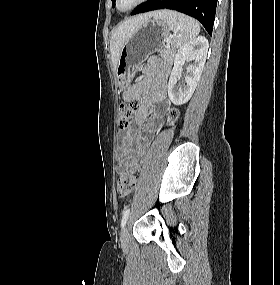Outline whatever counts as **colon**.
<instances>
[{
  "mask_svg": "<svg viewBox=\"0 0 280 285\" xmlns=\"http://www.w3.org/2000/svg\"><path fill=\"white\" fill-rule=\"evenodd\" d=\"M138 104L136 101H127L118 108V125L121 129L127 128L136 115ZM178 117V112L172 109L168 114V122L172 123ZM136 176L129 171H122L119 174L117 188L121 195L131 193L136 186Z\"/></svg>",
  "mask_w": 280,
  "mask_h": 285,
  "instance_id": "1",
  "label": "colon"
}]
</instances>
